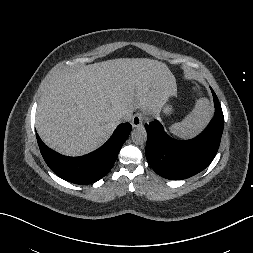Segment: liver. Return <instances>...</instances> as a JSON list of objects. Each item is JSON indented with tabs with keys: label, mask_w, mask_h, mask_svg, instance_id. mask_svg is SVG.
Returning a JSON list of instances; mask_svg holds the SVG:
<instances>
[{
	"label": "liver",
	"mask_w": 253,
	"mask_h": 253,
	"mask_svg": "<svg viewBox=\"0 0 253 253\" xmlns=\"http://www.w3.org/2000/svg\"><path fill=\"white\" fill-rule=\"evenodd\" d=\"M176 88L163 63L120 58L60 72L40 98L36 128L42 141L67 156L102 146L135 107L159 112Z\"/></svg>",
	"instance_id": "obj_1"
}]
</instances>
